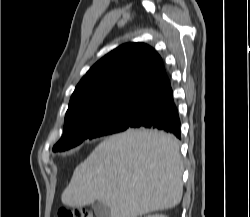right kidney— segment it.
<instances>
[{
	"mask_svg": "<svg viewBox=\"0 0 250 217\" xmlns=\"http://www.w3.org/2000/svg\"><path fill=\"white\" fill-rule=\"evenodd\" d=\"M147 217H167L163 214L148 215Z\"/></svg>",
	"mask_w": 250,
	"mask_h": 217,
	"instance_id": "ca27d5eb",
	"label": "right kidney"
}]
</instances>
